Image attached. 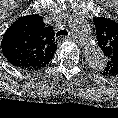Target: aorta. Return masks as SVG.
I'll list each match as a JSON object with an SVG mask.
<instances>
[{
    "mask_svg": "<svg viewBox=\"0 0 118 118\" xmlns=\"http://www.w3.org/2000/svg\"><path fill=\"white\" fill-rule=\"evenodd\" d=\"M69 26L77 38L89 46L85 52L88 65L95 70H103L106 66V57L100 48L96 46L95 36L89 24L82 18L72 17Z\"/></svg>",
    "mask_w": 118,
    "mask_h": 118,
    "instance_id": "aorta-1",
    "label": "aorta"
}]
</instances>
